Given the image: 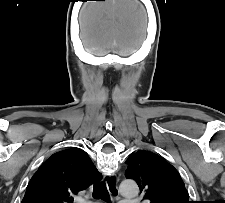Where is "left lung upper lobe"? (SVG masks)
<instances>
[{
  "label": "left lung upper lobe",
  "instance_id": "5c2ea615",
  "mask_svg": "<svg viewBox=\"0 0 225 203\" xmlns=\"http://www.w3.org/2000/svg\"><path fill=\"white\" fill-rule=\"evenodd\" d=\"M126 162V177L137 182L150 203H191L179 173L159 155L140 150Z\"/></svg>",
  "mask_w": 225,
  "mask_h": 203
}]
</instances>
